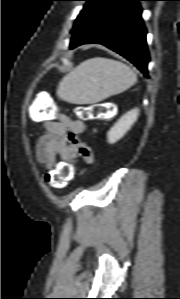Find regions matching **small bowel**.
<instances>
[{"label":"small bowel","instance_id":"obj_1","mask_svg":"<svg viewBox=\"0 0 180 299\" xmlns=\"http://www.w3.org/2000/svg\"><path fill=\"white\" fill-rule=\"evenodd\" d=\"M45 132L36 143L35 156L39 166L51 169L57 162H94V154L89 145L79 136L85 131L83 121L60 113L56 117L43 120Z\"/></svg>","mask_w":180,"mask_h":299}]
</instances>
